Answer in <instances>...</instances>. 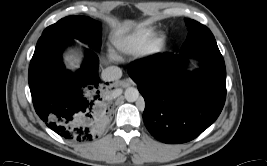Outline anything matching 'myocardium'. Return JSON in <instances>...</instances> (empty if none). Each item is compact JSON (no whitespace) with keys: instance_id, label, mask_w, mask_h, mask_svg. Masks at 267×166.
<instances>
[{"instance_id":"myocardium-1","label":"myocardium","mask_w":267,"mask_h":166,"mask_svg":"<svg viewBox=\"0 0 267 166\" xmlns=\"http://www.w3.org/2000/svg\"><path fill=\"white\" fill-rule=\"evenodd\" d=\"M167 36L165 33H157L147 42L141 55L148 58H153L160 55L166 47Z\"/></svg>"}]
</instances>
